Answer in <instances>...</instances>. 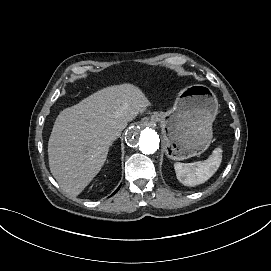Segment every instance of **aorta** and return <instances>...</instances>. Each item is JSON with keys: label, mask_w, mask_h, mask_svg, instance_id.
Segmentation results:
<instances>
[{"label": "aorta", "mask_w": 271, "mask_h": 271, "mask_svg": "<svg viewBox=\"0 0 271 271\" xmlns=\"http://www.w3.org/2000/svg\"><path fill=\"white\" fill-rule=\"evenodd\" d=\"M126 142L133 150H140L148 155L158 150L160 139L154 129L143 124H136L128 130Z\"/></svg>", "instance_id": "aorta-1"}]
</instances>
